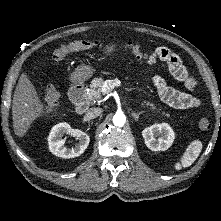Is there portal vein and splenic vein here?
<instances>
[{
  "mask_svg": "<svg viewBox=\"0 0 221 221\" xmlns=\"http://www.w3.org/2000/svg\"><path fill=\"white\" fill-rule=\"evenodd\" d=\"M120 82L118 80H107L104 82L102 86V92L103 93H109L111 92L116 86H119Z\"/></svg>",
  "mask_w": 221,
  "mask_h": 221,
  "instance_id": "1",
  "label": "portal vein and splenic vein"
}]
</instances>
